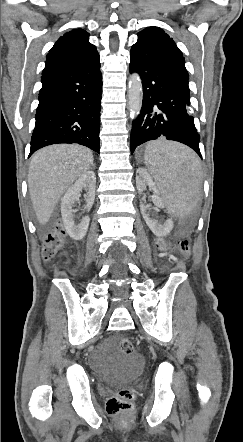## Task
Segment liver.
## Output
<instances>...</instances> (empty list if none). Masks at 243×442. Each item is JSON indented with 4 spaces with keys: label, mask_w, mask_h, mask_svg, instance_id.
<instances>
[{
    "label": "liver",
    "mask_w": 243,
    "mask_h": 442,
    "mask_svg": "<svg viewBox=\"0 0 243 442\" xmlns=\"http://www.w3.org/2000/svg\"><path fill=\"white\" fill-rule=\"evenodd\" d=\"M92 151L77 144H60L37 151L29 166L28 188L39 224L45 225L73 182L93 165Z\"/></svg>",
    "instance_id": "liver-1"
}]
</instances>
